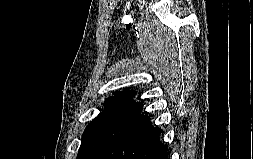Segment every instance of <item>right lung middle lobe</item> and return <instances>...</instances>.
Segmentation results:
<instances>
[{
	"instance_id": "right-lung-middle-lobe-1",
	"label": "right lung middle lobe",
	"mask_w": 253,
	"mask_h": 159,
	"mask_svg": "<svg viewBox=\"0 0 253 159\" xmlns=\"http://www.w3.org/2000/svg\"><path fill=\"white\" fill-rule=\"evenodd\" d=\"M105 105L106 109L86 127L77 159H92L148 118L141 113L143 104L131 99L108 98Z\"/></svg>"
}]
</instances>
